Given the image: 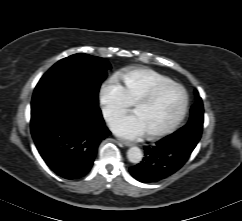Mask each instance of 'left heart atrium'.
Instances as JSON below:
<instances>
[{
    "instance_id": "left-heart-atrium-1",
    "label": "left heart atrium",
    "mask_w": 242,
    "mask_h": 221,
    "mask_svg": "<svg viewBox=\"0 0 242 221\" xmlns=\"http://www.w3.org/2000/svg\"><path fill=\"white\" fill-rule=\"evenodd\" d=\"M111 130L127 139H138L147 134L144 124L135 113L118 116L110 121Z\"/></svg>"
}]
</instances>
